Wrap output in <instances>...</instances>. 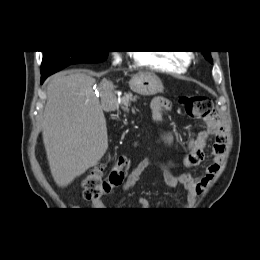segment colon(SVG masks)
<instances>
[{
  "mask_svg": "<svg viewBox=\"0 0 260 260\" xmlns=\"http://www.w3.org/2000/svg\"><path fill=\"white\" fill-rule=\"evenodd\" d=\"M180 103L186 113L194 119H205L215 114L213 104L205 96H184ZM127 167V160L119 157L113 164L107 177L104 175L105 167L97 165L84 177L82 181V194L86 200H99L107 194L111 188L121 184L124 178V171Z\"/></svg>",
  "mask_w": 260,
  "mask_h": 260,
  "instance_id": "5ec220e1",
  "label": "colon"
}]
</instances>
